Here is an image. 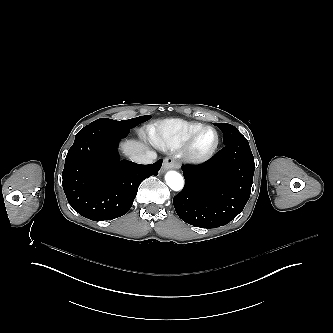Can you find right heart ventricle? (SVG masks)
Here are the masks:
<instances>
[{"label": "right heart ventricle", "mask_w": 333, "mask_h": 333, "mask_svg": "<svg viewBox=\"0 0 333 333\" xmlns=\"http://www.w3.org/2000/svg\"><path fill=\"white\" fill-rule=\"evenodd\" d=\"M203 124L198 121L171 119L151 127L145 137L153 145L164 150L179 149L186 138Z\"/></svg>", "instance_id": "e07e8e85"}]
</instances>
